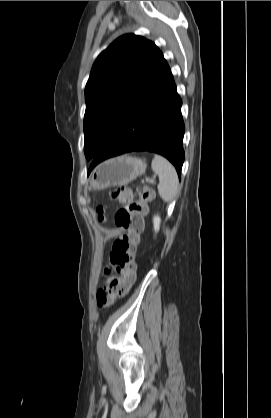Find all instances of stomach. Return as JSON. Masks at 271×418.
<instances>
[{
    "instance_id": "stomach-1",
    "label": "stomach",
    "mask_w": 271,
    "mask_h": 418,
    "mask_svg": "<svg viewBox=\"0 0 271 418\" xmlns=\"http://www.w3.org/2000/svg\"><path fill=\"white\" fill-rule=\"evenodd\" d=\"M146 162L140 158L122 155L99 164L90 175V186L102 190L123 186L135 180L146 171Z\"/></svg>"
}]
</instances>
